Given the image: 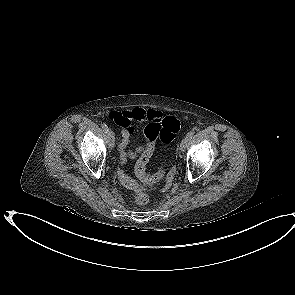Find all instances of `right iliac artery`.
Listing matches in <instances>:
<instances>
[{
    "label": "right iliac artery",
    "mask_w": 295,
    "mask_h": 295,
    "mask_svg": "<svg viewBox=\"0 0 295 295\" xmlns=\"http://www.w3.org/2000/svg\"><path fill=\"white\" fill-rule=\"evenodd\" d=\"M101 126H102L104 132L108 133V131H109L108 126L105 123L101 124Z\"/></svg>",
    "instance_id": "1"
}]
</instances>
